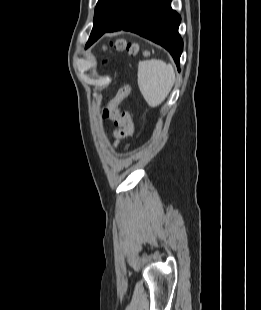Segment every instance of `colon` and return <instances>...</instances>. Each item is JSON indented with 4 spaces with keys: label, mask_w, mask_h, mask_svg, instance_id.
I'll list each match as a JSON object with an SVG mask.
<instances>
[{
    "label": "colon",
    "mask_w": 261,
    "mask_h": 310,
    "mask_svg": "<svg viewBox=\"0 0 261 310\" xmlns=\"http://www.w3.org/2000/svg\"><path fill=\"white\" fill-rule=\"evenodd\" d=\"M114 48L121 51H127L135 55L138 52V45L135 43L118 40L113 44ZM131 89L128 85L121 87L115 97L111 99L102 109V117L113 121L116 126L113 134L117 138H129L133 134V124L130 114L126 111L120 112L118 107L122 101L128 97Z\"/></svg>",
    "instance_id": "5ec220e1"
}]
</instances>
